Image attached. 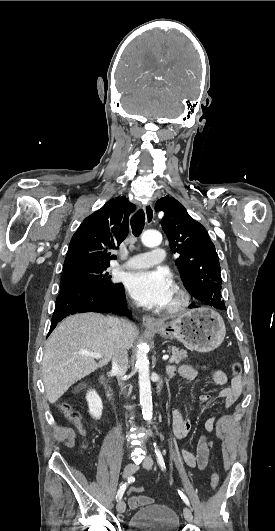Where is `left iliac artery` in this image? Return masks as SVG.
Returning a JSON list of instances; mask_svg holds the SVG:
<instances>
[{"label":"left iliac artery","mask_w":275,"mask_h":531,"mask_svg":"<svg viewBox=\"0 0 275 531\" xmlns=\"http://www.w3.org/2000/svg\"><path fill=\"white\" fill-rule=\"evenodd\" d=\"M154 447H155V454H156L157 463L159 464L161 470L164 471L166 469V467H165V462H164L163 456H162L158 446L156 445V443H154ZM178 493H179L181 499L184 501V503L189 506L190 503H189L188 498L185 496V494L183 492H181L180 490H178Z\"/></svg>","instance_id":"1"}]
</instances>
